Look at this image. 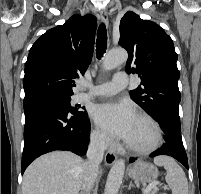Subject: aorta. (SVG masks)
I'll list each match as a JSON object with an SVG mask.
<instances>
[{
	"label": "aorta",
	"mask_w": 201,
	"mask_h": 194,
	"mask_svg": "<svg viewBox=\"0 0 201 194\" xmlns=\"http://www.w3.org/2000/svg\"><path fill=\"white\" fill-rule=\"evenodd\" d=\"M128 59V53L123 48L110 50L104 57L102 69L110 71L119 65L125 63ZM125 171V162L117 160L110 169L107 177L104 194H118Z\"/></svg>",
	"instance_id": "1"
}]
</instances>
